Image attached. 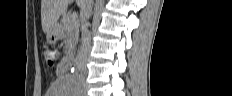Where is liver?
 <instances>
[{"instance_id": "liver-1", "label": "liver", "mask_w": 232, "mask_h": 96, "mask_svg": "<svg viewBox=\"0 0 232 96\" xmlns=\"http://www.w3.org/2000/svg\"><path fill=\"white\" fill-rule=\"evenodd\" d=\"M79 3L82 1L78 0ZM69 0H41V23L44 33L57 26L59 17L65 12Z\"/></svg>"}]
</instances>
